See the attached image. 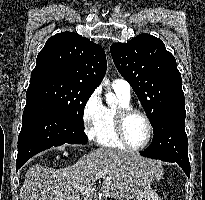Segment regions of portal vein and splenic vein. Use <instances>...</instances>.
Instances as JSON below:
<instances>
[{
    "label": "portal vein and splenic vein",
    "instance_id": "obj_1",
    "mask_svg": "<svg viewBox=\"0 0 205 200\" xmlns=\"http://www.w3.org/2000/svg\"><path fill=\"white\" fill-rule=\"evenodd\" d=\"M108 172V170H103V171H99L96 173V179L102 177L103 175H105ZM81 193L83 195H85L86 197H94L96 198V194H94L93 189L90 185H88L87 187H83L81 188Z\"/></svg>",
    "mask_w": 205,
    "mask_h": 200
}]
</instances>
